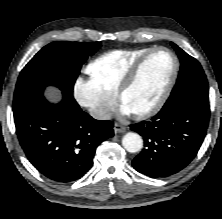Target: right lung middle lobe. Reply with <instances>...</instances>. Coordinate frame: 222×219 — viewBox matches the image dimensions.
Listing matches in <instances>:
<instances>
[{
	"label": "right lung middle lobe",
	"instance_id": "right-lung-middle-lobe-1",
	"mask_svg": "<svg viewBox=\"0 0 222 219\" xmlns=\"http://www.w3.org/2000/svg\"><path fill=\"white\" fill-rule=\"evenodd\" d=\"M100 46V42L64 41L46 45L21 71L15 89L13 110L42 97L44 89L49 85L72 92L82 64Z\"/></svg>",
	"mask_w": 222,
	"mask_h": 219
}]
</instances>
